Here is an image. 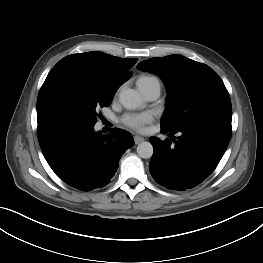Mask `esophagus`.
I'll return each mask as SVG.
<instances>
[{"label": "esophagus", "mask_w": 263, "mask_h": 263, "mask_svg": "<svg viewBox=\"0 0 263 263\" xmlns=\"http://www.w3.org/2000/svg\"><path fill=\"white\" fill-rule=\"evenodd\" d=\"M144 141V138L143 137H141V136H139V135H135L134 136V142H135V144H139V143H141V142H143Z\"/></svg>", "instance_id": "1"}]
</instances>
